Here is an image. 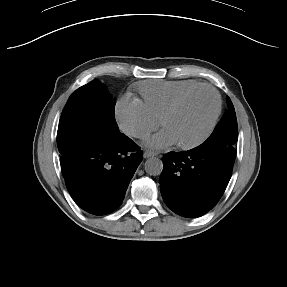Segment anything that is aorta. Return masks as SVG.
<instances>
[{
    "label": "aorta",
    "instance_id": "1",
    "mask_svg": "<svg viewBox=\"0 0 287 287\" xmlns=\"http://www.w3.org/2000/svg\"><path fill=\"white\" fill-rule=\"evenodd\" d=\"M163 170V163L162 160H160L157 157L149 158L145 162V171L147 174L151 176H158L162 173Z\"/></svg>",
    "mask_w": 287,
    "mask_h": 287
}]
</instances>
